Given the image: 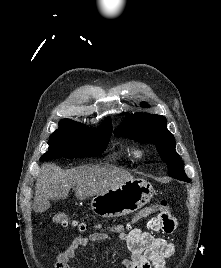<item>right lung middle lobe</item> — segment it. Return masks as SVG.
Returning a JSON list of instances; mask_svg holds the SVG:
<instances>
[{
    "mask_svg": "<svg viewBox=\"0 0 221 268\" xmlns=\"http://www.w3.org/2000/svg\"><path fill=\"white\" fill-rule=\"evenodd\" d=\"M111 134V127L91 129L70 119H63L59 129L50 135L49 150L40 160L99 156L105 151Z\"/></svg>",
    "mask_w": 221,
    "mask_h": 268,
    "instance_id": "right-lung-middle-lobe-1",
    "label": "right lung middle lobe"
}]
</instances>
